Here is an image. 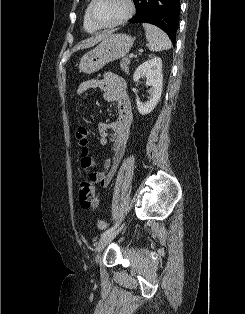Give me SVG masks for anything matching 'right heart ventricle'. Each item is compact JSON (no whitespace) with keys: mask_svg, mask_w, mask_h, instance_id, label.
Returning a JSON list of instances; mask_svg holds the SVG:
<instances>
[{"mask_svg":"<svg viewBox=\"0 0 245 314\" xmlns=\"http://www.w3.org/2000/svg\"><path fill=\"white\" fill-rule=\"evenodd\" d=\"M88 10H89V7H87V9L85 10V13H84V18H83L84 29L88 33H94L98 30V28H96L93 25V23L91 22V20L89 18Z\"/></svg>","mask_w":245,"mask_h":314,"instance_id":"obj_1","label":"right heart ventricle"}]
</instances>
